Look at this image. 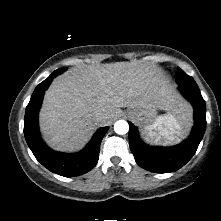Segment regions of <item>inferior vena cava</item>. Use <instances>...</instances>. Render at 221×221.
I'll use <instances>...</instances> for the list:
<instances>
[{
  "instance_id": "obj_1",
  "label": "inferior vena cava",
  "mask_w": 221,
  "mask_h": 221,
  "mask_svg": "<svg viewBox=\"0 0 221 221\" xmlns=\"http://www.w3.org/2000/svg\"><path fill=\"white\" fill-rule=\"evenodd\" d=\"M105 118H106V116H105V114H103V113H96V114L94 115V119H95L96 122H101V121H103Z\"/></svg>"
}]
</instances>
